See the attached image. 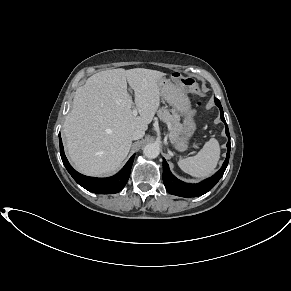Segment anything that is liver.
Wrapping results in <instances>:
<instances>
[{
    "label": "liver",
    "mask_w": 291,
    "mask_h": 291,
    "mask_svg": "<svg viewBox=\"0 0 291 291\" xmlns=\"http://www.w3.org/2000/svg\"><path fill=\"white\" fill-rule=\"evenodd\" d=\"M165 74L122 68L98 72L76 90L63 133L74 167L91 176L116 171L129 153L136 129L146 131L160 106L159 82ZM134 90L139 116H133Z\"/></svg>",
    "instance_id": "1"
}]
</instances>
